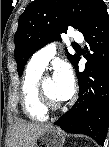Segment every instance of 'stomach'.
I'll return each instance as SVG.
<instances>
[{
    "label": "stomach",
    "mask_w": 109,
    "mask_h": 147,
    "mask_svg": "<svg viewBox=\"0 0 109 147\" xmlns=\"http://www.w3.org/2000/svg\"><path fill=\"white\" fill-rule=\"evenodd\" d=\"M65 133L57 128L53 127L45 131L36 142V147H62L65 143Z\"/></svg>",
    "instance_id": "1"
}]
</instances>
